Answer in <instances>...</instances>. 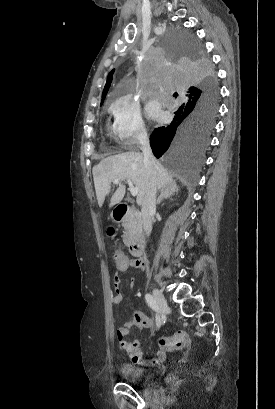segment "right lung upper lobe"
<instances>
[{
	"label": "right lung upper lobe",
	"instance_id": "cb5924a9",
	"mask_svg": "<svg viewBox=\"0 0 275 409\" xmlns=\"http://www.w3.org/2000/svg\"><path fill=\"white\" fill-rule=\"evenodd\" d=\"M114 71H115V69H113V70L108 74V76H107V81H106V84H105V87H104V90H103V94H102L101 105L103 104V101H104V99H105V96H106V94H107V92H108V88H109L110 85H111L112 76H113ZM195 90H196V87H195V86L189 87V89H188L189 95H188V96L190 97L191 94H192Z\"/></svg>",
	"mask_w": 275,
	"mask_h": 409
}]
</instances>
